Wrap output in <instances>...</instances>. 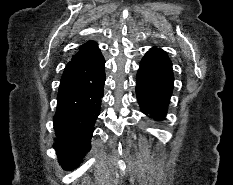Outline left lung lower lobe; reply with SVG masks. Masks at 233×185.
Listing matches in <instances>:
<instances>
[{
    "mask_svg": "<svg viewBox=\"0 0 233 185\" xmlns=\"http://www.w3.org/2000/svg\"><path fill=\"white\" fill-rule=\"evenodd\" d=\"M172 63L160 48L150 49L141 60L136 76V96L141 110L163 120L173 91Z\"/></svg>",
    "mask_w": 233,
    "mask_h": 185,
    "instance_id": "left-lung-lower-lobe-1",
    "label": "left lung lower lobe"
}]
</instances>
